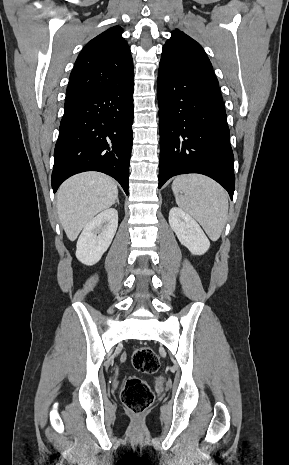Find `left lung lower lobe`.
Here are the masks:
<instances>
[{
  "label": "left lung lower lobe",
  "instance_id": "0a47b994",
  "mask_svg": "<svg viewBox=\"0 0 289 465\" xmlns=\"http://www.w3.org/2000/svg\"><path fill=\"white\" fill-rule=\"evenodd\" d=\"M157 92L159 188L172 176L200 173L220 183L233 199L234 156L218 84L159 73Z\"/></svg>",
  "mask_w": 289,
  "mask_h": 465
}]
</instances>
